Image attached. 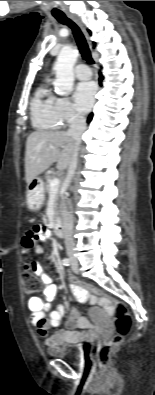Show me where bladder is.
I'll return each mask as SVG.
<instances>
[{
	"label": "bladder",
	"instance_id": "31cf9c89",
	"mask_svg": "<svg viewBox=\"0 0 155 395\" xmlns=\"http://www.w3.org/2000/svg\"><path fill=\"white\" fill-rule=\"evenodd\" d=\"M54 355L65 358L68 361L78 363L83 357V350L76 345L63 343L57 346L54 351Z\"/></svg>",
	"mask_w": 155,
	"mask_h": 395
}]
</instances>
